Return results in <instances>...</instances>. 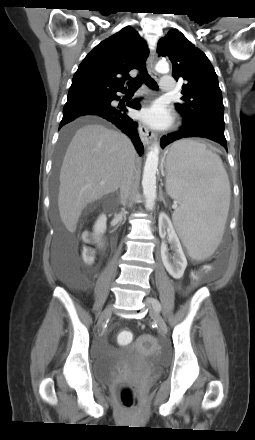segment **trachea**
<instances>
[{
  "label": "trachea",
  "instance_id": "trachea-1",
  "mask_svg": "<svg viewBox=\"0 0 255 440\" xmlns=\"http://www.w3.org/2000/svg\"><path fill=\"white\" fill-rule=\"evenodd\" d=\"M142 74V76L137 77V79L129 83V91L137 90L143 82H145L149 88L157 89V83L149 76L145 68L142 69Z\"/></svg>",
  "mask_w": 255,
  "mask_h": 440
}]
</instances>
